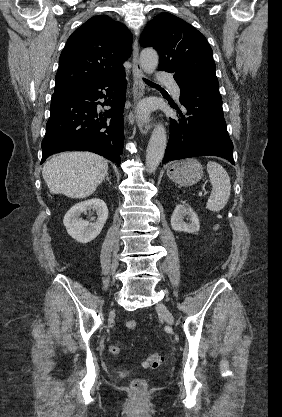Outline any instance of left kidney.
Returning <instances> with one entry per match:
<instances>
[{"label":"left kidney","instance_id":"obj_1","mask_svg":"<svg viewBox=\"0 0 282 417\" xmlns=\"http://www.w3.org/2000/svg\"><path fill=\"white\" fill-rule=\"evenodd\" d=\"M188 215L190 223L183 221L184 217ZM171 227L173 231H186V233H198L200 229V223L197 213L191 209L190 204L182 202L177 204L171 217Z\"/></svg>","mask_w":282,"mask_h":417}]
</instances>
